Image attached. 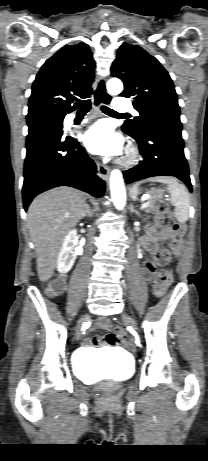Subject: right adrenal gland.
Returning a JSON list of instances; mask_svg holds the SVG:
<instances>
[{"label": "right adrenal gland", "instance_id": "2a0ac1e0", "mask_svg": "<svg viewBox=\"0 0 208 461\" xmlns=\"http://www.w3.org/2000/svg\"><path fill=\"white\" fill-rule=\"evenodd\" d=\"M93 215H94V212L90 209L89 205H87V212H86V214H85L83 217H86V216H87V217L92 218Z\"/></svg>", "mask_w": 208, "mask_h": 461}]
</instances>
